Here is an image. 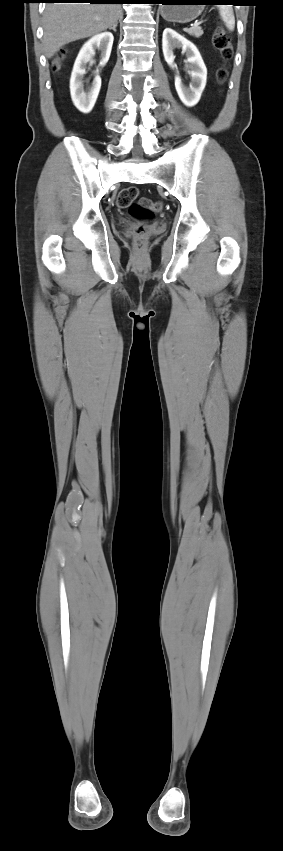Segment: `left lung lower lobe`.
<instances>
[{
    "instance_id": "0a47b994",
    "label": "left lung lower lobe",
    "mask_w": 283,
    "mask_h": 851,
    "mask_svg": "<svg viewBox=\"0 0 283 851\" xmlns=\"http://www.w3.org/2000/svg\"><path fill=\"white\" fill-rule=\"evenodd\" d=\"M149 1H150V3H154V4H167L168 1H170V0H149ZM205 1H210L212 3H229V2H235L236 0H205Z\"/></svg>"
}]
</instances>
